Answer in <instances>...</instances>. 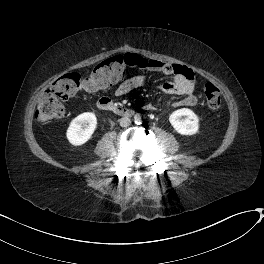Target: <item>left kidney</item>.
<instances>
[{"label": "left kidney", "instance_id": "left-kidney-1", "mask_svg": "<svg viewBox=\"0 0 264 264\" xmlns=\"http://www.w3.org/2000/svg\"><path fill=\"white\" fill-rule=\"evenodd\" d=\"M169 121L173 128L181 135H193L199 129L198 116L188 108L174 111L169 116Z\"/></svg>", "mask_w": 264, "mask_h": 264}]
</instances>
